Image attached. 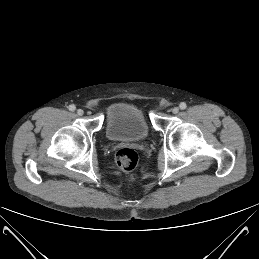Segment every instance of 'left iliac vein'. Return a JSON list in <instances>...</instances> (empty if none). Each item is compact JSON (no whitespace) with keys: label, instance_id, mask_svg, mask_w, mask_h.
<instances>
[{"label":"left iliac vein","instance_id":"4c4485c4","mask_svg":"<svg viewBox=\"0 0 259 259\" xmlns=\"http://www.w3.org/2000/svg\"><path fill=\"white\" fill-rule=\"evenodd\" d=\"M172 112H173L174 114H177V113L179 112V108H178V107H174V108L172 109Z\"/></svg>","mask_w":259,"mask_h":259}]
</instances>
